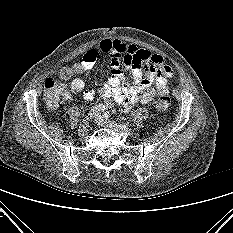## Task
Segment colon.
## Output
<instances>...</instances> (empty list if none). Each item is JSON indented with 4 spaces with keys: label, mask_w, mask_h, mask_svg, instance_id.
<instances>
[{
    "label": "colon",
    "mask_w": 233,
    "mask_h": 233,
    "mask_svg": "<svg viewBox=\"0 0 233 233\" xmlns=\"http://www.w3.org/2000/svg\"><path fill=\"white\" fill-rule=\"evenodd\" d=\"M80 71V67L77 65H72L64 67L60 71V78L67 80L71 78L75 73ZM64 92L63 84L51 78H48L44 83V101L48 108L54 109L60 96ZM97 92L103 99H108L105 95L103 85L97 86ZM154 106L159 112H165L170 106V98L166 94H159L154 99Z\"/></svg>",
    "instance_id": "1"
}]
</instances>
